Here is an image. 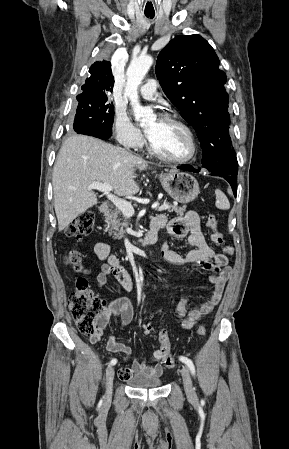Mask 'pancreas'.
Listing matches in <instances>:
<instances>
[{"label":"pancreas","mask_w":289,"mask_h":449,"mask_svg":"<svg viewBox=\"0 0 289 449\" xmlns=\"http://www.w3.org/2000/svg\"><path fill=\"white\" fill-rule=\"evenodd\" d=\"M170 206L169 212H175L177 215L183 216L186 211V207H179L175 205H170L168 202H164ZM121 217V218H120ZM126 216L123 214L121 216L119 210L112 211L110 214L106 215L105 222L107 230L113 233L115 239H121L125 233L124 227L126 225ZM123 220V222H121Z\"/></svg>","instance_id":"obj_1"}]
</instances>
